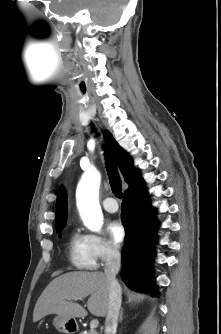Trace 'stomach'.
<instances>
[{"label":"stomach","mask_w":221,"mask_h":334,"mask_svg":"<svg viewBox=\"0 0 221 334\" xmlns=\"http://www.w3.org/2000/svg\"><path fill=\"white\" fill-rule=\"evenodd\" d=\"M53 325L55 328L63 333L72 334V332L76 331L77 324L71 318H65L60 315L56 316L53 320Z\"/></svg>","instance_id":"1"}]
</instances>
